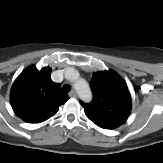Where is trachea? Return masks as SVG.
Returning a JSON list of instances; mask_svg holds the SVG:
<instances>
[{
    "instance_id": "trachea-1",
    "label": "trachea",
    "mask_w": 163,
    "mask_h": 163,
    "mask_svg": "<svg viewBox=\"0 0 163 163\" xmlns=\"http://www.w3.org/2000/svg\"><path fill=\"white\" fill-rule=\"evenodd\" d=\"M62 90H63L64 92H70L71 86L68 85V84H65V85L62 87Z\"/></svg>"
}]
</instances>
